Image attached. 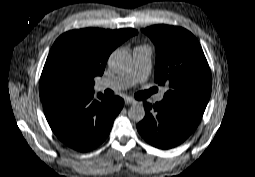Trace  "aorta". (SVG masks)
Listing matches in <instances>:
<instances>
[{
  "label": "aorta",
  "mask_w": 255,
  "mask_h": 177,
  "mask_svg": "<svg viewBox=\"0 0 255 177\" xmlns=\"http://www.w3.org/2000/svg\"><path fill=\"white\" fill-rule=\"evenodd\" d=\"M132 61L131 55L125 51L117 49L113 51L108 59L109 66L115 72H121L127 69ZM145 117V109L139 103H134L128 109V118L133 122H140Z\"/></svg>",
  "instance_id": "1"
}]
</instances>
